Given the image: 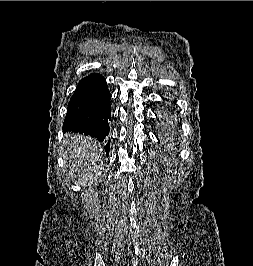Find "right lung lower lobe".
<instances>
[{
	"instance_id": "1",
	"label": "right lung lower lobe",
	"mask_w": 253,
	"mask_h": 266,
	"mask_svg": "<svg viewBox=\"0 0 253 266\" xmlns=\"http://www.w3.org/2000/svg\"><path fill=\"white\" fill-rule=\"evenodd\" d=\"M111 95L105 78L98 73H91L82 78L70 99L64 132H76L95 137L105 144L107 155L110 150L109 121Z\"/></svg>"
}]
</instances>
